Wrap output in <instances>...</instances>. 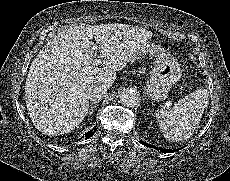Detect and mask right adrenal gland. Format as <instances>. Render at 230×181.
<instances>
[{
  "label": "right adrenal gland",
  "mask_w": 230,
  "mask_h": 181,
  "mask_svg": "<svg viewBox=\"0 0 230 181\" xmlns=\"http://www.w3.org/2000/svg\"><path fill=\"white\" fill-rule=\"evenodd\" d=\"M97 102H92L90 105V110H89V114L93 113V109H94V104H96Z\"/></svg>",
  "instance_id": "right-adrenal-gland-1"
}]
</instances>
